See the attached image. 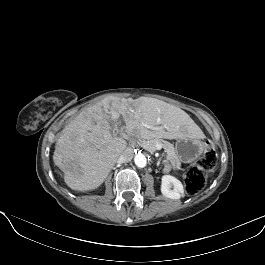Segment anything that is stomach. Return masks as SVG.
Returning <instances> with one entry per match:
<instances>
[{"label":"stomach","instance_id":"stomach-1","mask_svg":"<svg viewBox=\"0 0 265 265\" xmlns=\"http://www.w3.org/2000/svg\"><path fill=\"white\" fill-rule=\"evenodd\" d=\"M175 151L180 161L191 163L202 154L203 144L199 138L180 137L176 140Z\"/></svg>","mask_w":265,"mask_h":265}]
</instances>
